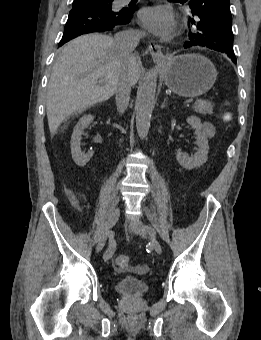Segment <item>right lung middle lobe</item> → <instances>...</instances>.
Returning a JSON list of instances; mask_svg holds the SVG:
<instances>
[{
  "instance_id": "1",
  "label": "right lung middle lobe",
  "mask_w": 261,
  "mask_h": 340,
  "mask_svg": "<svg viewBox=\"0 0 261 340\" xmlns=\"http://www.w3.org/2000/svg\"><path fill=\"white\" fill-rule=\"evenodd\" d=\"M93 1H99V2H104V3H107V4H109V6H112V1L113 0H93Z\"/></svg>"
}]
</instances>
